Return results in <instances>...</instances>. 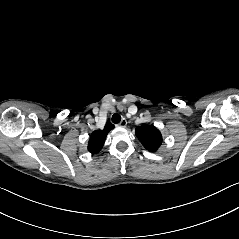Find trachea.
Wrapping results in <instances>:
<instances>
[{
	"label": "trachea",
	"mask_w": 239,
	"mask_h": 239,
	"mask_svg": "<svg viewBox=\"0 0 239 239\" xmlns=\"http://www.w3.org/2000/svg\"><path fill=\"white\" fill-rule=\"evenodd\" d=\"M121 121V116L117 113H115L113 116H112V122L117 124Z\"/></svg>",
	"instance_id": "trachea-1"
}]
</instances>
